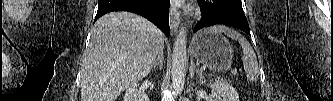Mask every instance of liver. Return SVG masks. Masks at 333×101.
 Instances as JSON below:
<instances>
[{
	"mask_svg": "<svg viewBox=\"0 0 333 101\" xmlns=\"http://www.w3.org/2000/svg\"><path fill=\"white\" fill-rule=\"evenodd\" d=\"M164 48V35L151 22L113 12L95 24L81 65V101H116L146 77Z\"/></svg>",
	"mask_w": 333,
	"mask_h": 101,
	"instance_id": "6515ba94",
	"label": "liver"
}]
</instances>
